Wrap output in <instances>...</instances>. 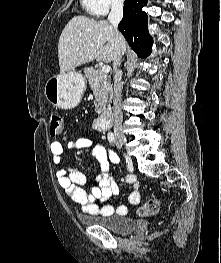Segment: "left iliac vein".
Wrapping results in <instances>:
<instances>
[{"instance_id": "4c4485c4", "label": "left iliac vein", "mask_w": 221, "mask_h": 263, "mask_svg": "<svg viewBox=\"0 0 221 263\" xmlns=\"http://www.w3.org/2000/svg\"><path fill=\"white\" fill-rule=\"evenodd\" d=\"M117 147H119V148L121 147V145L118 143V141H117Z\"/></svg>"}]
</instances>
